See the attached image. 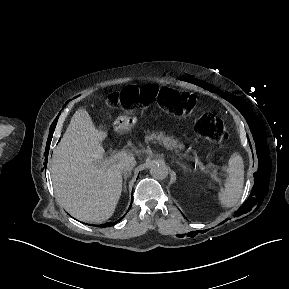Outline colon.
<instances>
[{"instance_id": "1", "label": "colon", "mask_w": 289, "mask_h": 289, "mask_svg": "<svg viewBox=\"0 0 289 289\" xmlns=\"http://www.w3.org/2000/svg\"><path fill=\"white\" fill-rule=\"evenodd\" d=\"M153 101L160 102L179 116L192 118L195 132L202 137L213 141H226L229 137V133L217 116L208 113L195 114L197 99L190 93H179L168 87L144 85L126 87L121 91L111 92L107 96V102L110 105L127 107L147 105Z\"/></svg>"}]
</instances>
